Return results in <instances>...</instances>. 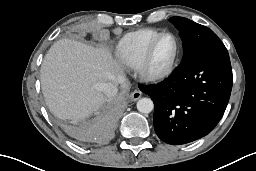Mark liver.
Masks as SVG:
<instances>
[{"mask_svg": "<svg viewBox=\"0 0 256 171\" xmlns=\"http://www.w3.org/2000/svg\"><path fill=\"white\" fill-rule=\"evenodd\" d=\"M47 106L61 120L81 119L105 100V83L125 86L122 66L106 48L61 39L48 50L40 70Z\"/></svg>", "mask_w": 256, "mask_h": 171, "instance_id": "1", "label": "liver"}]
</instances>
